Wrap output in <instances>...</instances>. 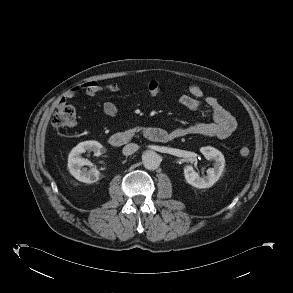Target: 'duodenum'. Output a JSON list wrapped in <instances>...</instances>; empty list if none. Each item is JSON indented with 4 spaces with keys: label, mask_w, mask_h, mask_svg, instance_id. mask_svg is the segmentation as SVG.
Instances as JSON below:
<instances>
[{
    "label": "duodenum",
    "mask_w": 293,
    "mask_h": 293,
    "mask_svg": "<svg viewBox=\"0 0 293 293\" xmlns=\"http://www.w3.org/2000/svg\"><path fill=\"white\" fill-rule=\"evenodd\" d=\"M142 134L146 139L158 143H167L174 139L171 133L157 127L145 128ZM133 136V132H117L109 137V143L114 147H121L129 143Z\"/></svg>",
    "instance_id": "410a0bca"
}]
</instances>
